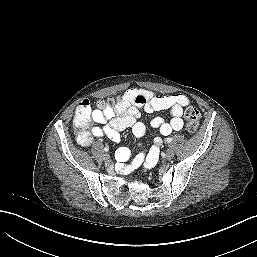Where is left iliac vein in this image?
I'll list each match as a JSON object with an SVG mask.
<instances>
[{"instance_id":"4c4485c4","label":"left iliac vein","mask_w":257,"mask_h":257,"mask_svg":"<svg viewBox=\"0 0 257 257\" xmlns=\"http://www.w3.org/2000/svg\"><path fill=\"white\" fill-rule=\"evenodd\" d=\"M174 157V150L172 148H168L164 154V158L170 160Z\"/></svg>"}]
</instances>
